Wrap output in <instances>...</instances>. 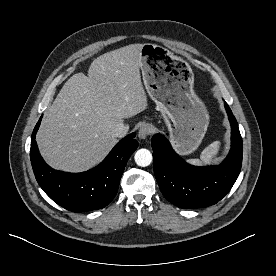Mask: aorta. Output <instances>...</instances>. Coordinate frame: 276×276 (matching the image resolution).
I'll use <instances>...</instances> for the list:
<instances>
[{"instance_id": "1", "label": "aorta", "mask_w": 276, "mask_h": 276, "mask_svg": "<svg viewBox=\"0 0 276 276\" xmlns=\"http://www.w3.org/2000/svg\"><path fill=\"white\" fill-rule=\"evenodd\" d=\"M135 162L137 165L146 167L152 162V154L148 149H139L135 153Z\"/></svg>"}]
</instances>
